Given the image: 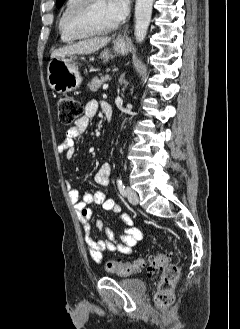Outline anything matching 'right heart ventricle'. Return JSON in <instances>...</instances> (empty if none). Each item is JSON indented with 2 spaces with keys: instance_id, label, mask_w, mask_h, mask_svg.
<instances>
[{
  "instance_id": "1",
  "label": "right heart ventricle",
  "mask_w": 240,
  "mask_h": 329,
  "mask_svg": "<svg viewBox=\"0 0 240 329\" xmlns=\"http://www.w3.org/2000/svg\"><path fill=\"white\" fill-rule=\"evenodd\" d=\"M76 2V0H66L60 14H59V17H58V21H57V28H58V32H59V35H60V38L63 42H72L74 40H76L75 38L69 36L66 31L64 30V25H63V22H64V17H65V14L67 12V10Z\"/></svg>"
}]
</instances>
